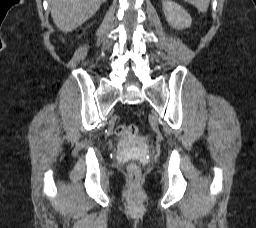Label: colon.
Returning a JSON list of instances; mask_svg holds the SVG:
<instances>
[{"instance_id": "5ec220e1", "label": "colon", "mask_w": 256, "mask_h": 228, "mask_svg": "<svg viewBox=\"0 0 256 228\" xmlns=\"http://www.w3.org/2000/svg\"><path fill=\"white\" fill-rule=\"evenodd\" d=\"M138 127L133 124H120L116 128V133L121 137H131L136 135ZM129 182L131 186L135 187L138 185L141 179V171L136 164H131L128 167Z\"/></svg>"}]
</instances>
